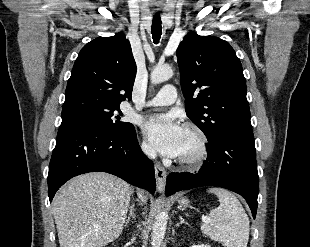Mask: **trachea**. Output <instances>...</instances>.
<instances>
[{
	"label": "trachea",
	"instance_id": "3493384b",
	"mask_svg": "<svg viewBox=\"0 0 310 247\" xmlns=\"http://www.w3.org/2000/svg\"><path fill=\"white\" fill-rule=\"evenodd\" d=\"M162 22L160 14L157 13L153 16L151 31H152V38L155 44L159 43L162 34Z\"/></svg>",
	"mask_w": 310,
	"mask_h": 247
}]
</instances>
